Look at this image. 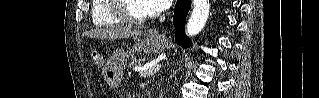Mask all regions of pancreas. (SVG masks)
Wrapping results in <instances>:
<instances>
[{
  "instance_id": "1",
  "label": "pancreas",
  "mask_w": 319,
  "mask_h": 98,
  "mask_svg": "<svg viewBox=\"0 0 319 98\" xmlns=\"http://www.w3.org/2000/svg\"><path fill=\"white\" fill-rule=\"evenodd\" d=\"M144 62L143 59H134L131 64H130V67H133V66H140L142 65Z\"/></svg>"
}]
</instances>
